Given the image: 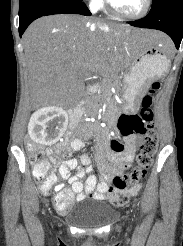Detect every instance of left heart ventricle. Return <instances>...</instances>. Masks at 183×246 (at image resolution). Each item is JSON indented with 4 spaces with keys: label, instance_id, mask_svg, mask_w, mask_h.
<instances>
[{
    "label": "left heart ventricle",
    "instance_id": "left-heart-ventricle-1",
    "mask_svg": "<svg viewBox=\"0 0 183 246\" xmlns=\"http://www.w3.org/2000/svg\"><path fill=\"white\" fill-rule=\"evenodd\" d=\"M144 1L145 0H111L116 10L127 15L138 13L143 8Z\"/></svg>",
    "mask_w": 183,
    "mask_h": 246
}]
</instances>
